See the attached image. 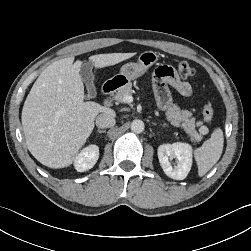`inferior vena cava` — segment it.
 Wrapping results in <instances>:
<instances>
[{"mask_svg": "<svg viewBox=\"0 0 251 251\" xmlns=\"http://www.w3.org/2000/svg\"><path fill=\"white\" fill-rule=\"evenodd\" d=\"M115 123V115L113 113H101L96 118V126L98 128L112 127Z\"/></svg>", "mask_w": 251, "mask_h": 251, "instance_id": "1", "label": "inferior vena cava"}]
</instances>
